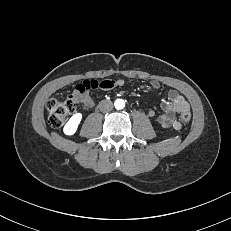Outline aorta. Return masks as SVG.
<instances>
[{"mask_svg": "<svg viewBox=\"0 0 231 231\" xmlns=\"http://www.w3.org/2000/svg\"><path fill=\"white\" fill-rule=\"evenodd\" d=\"M114 105H115L116 109L120 110V109H123L125 107V102L122 99H117L115 101Z\"/></svg>", "mask_w": 231, "mask_h": 231, "instance_id": "obj_1", "label": "aorta"}]
</instances>
